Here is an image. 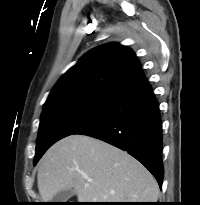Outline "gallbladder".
<instances>
[{
    "instance_id": "1",
    "label": "gallbladder",
    "mask_w": 200,
    "mask_h": 205,
    "mask_svg": "<svg viewBox=\"0 0 200 205\" xmlns=\"http://www.w3.org/2000/svg\"><path fill=\"white\" fill-rule=\"evenodd\" d=\"M74 195H75V192L73 189L62 190L53 197V201L54 202H67V200Z\"/></svg>"
}]
</instances>
